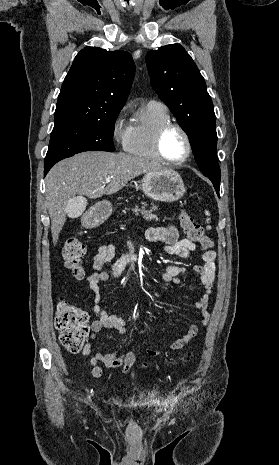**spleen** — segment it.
Returning a JSON list of instances; mask_svg holds the SVG:
<instances>
[{"instance_id": "spleen-1", "label": "spleen", "mask_w": 279, "mask_h": 465, "mask_svg": "<svg viewBox=\"0 0 279 465\" xmlns=\"http://www.w3.org/2000/svg\"><path fill=\"white\" fill-rule=\"evenodd\" d=\"M205 213H206V215H208V216L210 215L208 211H206ZM209 220H210V219L208 218L206 221L209 222Z\"/></svg>"}]
</instances>
